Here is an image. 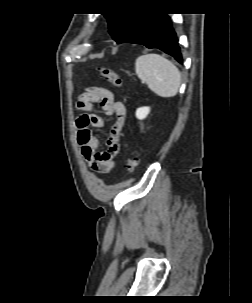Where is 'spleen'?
I'll return each mask as SVG.
<instances>
[{"label": "spleen", "mask_w": 252, "mask_h": 303, "mask_svg": "<svg viewBox=\"0 0 252 303\" xmlns=\"http://www.w3.org/2000/svg\"><path fill=\"white\" fill-rule=\"evenodd\" d=\"M137 76L149 89L160 97H174L181 84L179 69L168 59L158 54H146L135 61Z\"/></svg>", "instance_id": "obj_1"}]
</instances>
